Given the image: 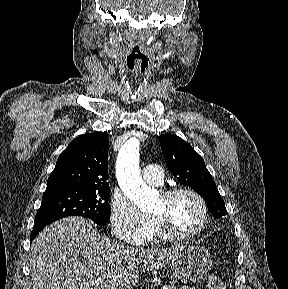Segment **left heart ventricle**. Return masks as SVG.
Here are the masks:
<instances>
[{"label":"left heart ventricle","mask_w":288,"mask_h":289,"mask_svg":"<svg viewBox=\"0 0 288 289\" xmlns=\"http://www.w3.org/2000/svg\"><path fill=\"white\" fill-rule=\"evenodd\" d=\"M152 215L165 218L170 227L179 233L191 232L201 223L202 212L198 202L183 194L166 204L160 197Z\"/></svg>","instance_id":"left-heart-ventricle-1"}]
</instances>
